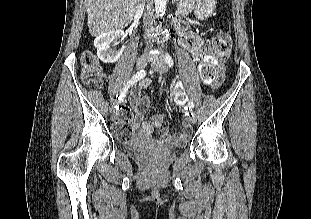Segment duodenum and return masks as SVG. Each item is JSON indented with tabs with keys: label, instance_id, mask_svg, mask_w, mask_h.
I'll return each mask as SVG.
<instances>
[{
	"label": "duodenum",
	"instance_id": "obj_1",
	"mask_svg": "<svg viewBox=\"0 0 311 219\" xmlns=\"http://www.w3.org/2000/svg\"><path fill=\"white\" fill-rule=\"evenodd\" d=\"M175 29H179V25H175Z\"/></svg>",
	"mask_w": 311,
	"mask_h": 219
}]
</instances>
